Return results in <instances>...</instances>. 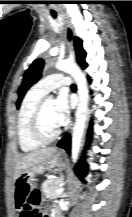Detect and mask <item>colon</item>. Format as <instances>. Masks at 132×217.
<instances>
[{
	"instance_id": "5ec220e1",
	"label": "colon",
	"mask_w": 132,
	"mask_h": 217,
	"mask_svg": "<svg viewBox=\"0 0 132 217\" xmlns=\"http://www.w3.org/2000/svg\"><path fill=\"white\" fill-rule=\"evenodd\" d=\"M40 201L41 195L40 191L35 189L31 191L26 197V204L29 210L31 211L32 217H41L40 216Z\"/></svg>"
}]
</instances>
